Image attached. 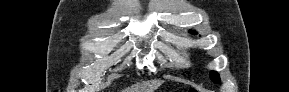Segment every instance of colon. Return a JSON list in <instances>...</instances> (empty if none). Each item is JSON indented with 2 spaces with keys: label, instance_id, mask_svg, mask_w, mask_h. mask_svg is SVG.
I'll use <instances>...</instances> for the list:
<instances>
[{
  "label": "colon",
  "instance_id": "obj_1",
  "mask_svg": "<svg viewBox=\"0 0 289 92\" xmlns=\"http://www.w3.org/2000/svg\"><path fill=\"white\" fill-rule=\"evenodd\" d=\"M188 92H197V91H196V89H194V88H190V89L188 90Z\"/></svg>",
  "mask_w": 289,
  "mask_h": 92
}]
</instances>
